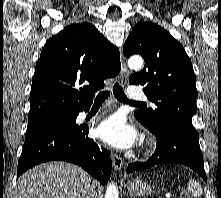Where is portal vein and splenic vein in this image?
I'll return each mask as SVG.
<instances>
[{
  "label": "portal vein and splenic vein",
  "instance_id": "18ae733b",
  "mask_svg": "<svg viewBox=\"0 0 221 198\" xmlns=\"http://www.w3.org/2000/svg\"><path fill=\"white\" fill-rule=\"evenodd\" d=\"M166 197H167V198H170V195H167Z\"/></svg>",
  "mask_w": 221,
  "mask_h": 198
}]
</instances>
